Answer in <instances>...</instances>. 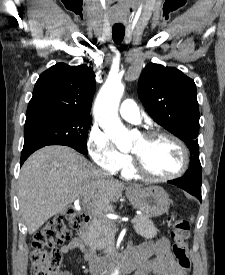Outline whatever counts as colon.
<instances>
[{
    "mask_svg": "<svg viewBox=\"0 0 225 275\" xmlns=\"http://www.w3.org/2000/svg\"><path fill=\"white\" fill-rule=\"evenodd\" d=\"M86 219L81 210L72 208L63 216L51 219L35 233L31 250L32 275H53L57 271L61 262L58 247L70 237L71 230H78ZM189 234V221L180 219L172 223L173 255L186 272L191 266L187 244Z\"/></svg>",
    "mask_w": 225,
    "mask_h": 275,
    "instance_id": "colon-1",
    "label": "colon"
}]
</instances>
